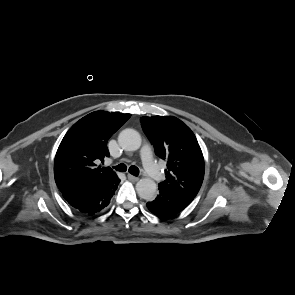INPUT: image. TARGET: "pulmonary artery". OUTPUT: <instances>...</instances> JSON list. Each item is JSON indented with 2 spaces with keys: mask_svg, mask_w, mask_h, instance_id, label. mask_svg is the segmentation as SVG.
Masks as SVG:
<instances>
[{
  "mask_svg": "<svg viewBox=\"0 0 295 295\" xmlns=\"http://www.w3.org/2000/svg\"><path fill=\"white\" fill-rule=\"evenodd\" d=\"M140 155H141L143 166L146 172L148 173V175L155 181L162 180L163 175L153 161L152 150L148 144L142 147Z\"/></svg>",
  "mask_w": 295,
  "mask_h": 295,
  "instance_id": "1",
  "label": "pulmonary artery"
}]
</instances>
